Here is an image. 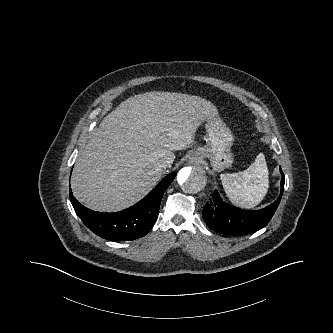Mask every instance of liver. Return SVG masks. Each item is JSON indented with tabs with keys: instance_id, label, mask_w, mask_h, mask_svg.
<instances>
[{
	"instance_id": "6515ba94",
	"label": "liver",
	"mask_w": 333,
	"mask_h": 333,
	"mask_svg": "<svg viewBox=\"0 0 333 333\" xmlns=\"http://www.w3.org/2000/svg\"><path fill=\"white\" fill-rule=\"evenodd\" d=\"M217 118V108L199 96L154 91L126 99L79 153L73 195L100 212L134 205L161 179L157 162L171 167L174 151L190 147L202 123Z\"/></svg>"
}]
</instances>
